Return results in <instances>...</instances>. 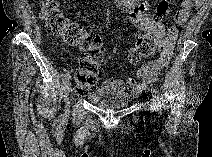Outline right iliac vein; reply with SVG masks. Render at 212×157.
I'll return each instance as SVG.
<instances>
[{"label":"right iliac vein","instance_id":"obj_1","mask_svg":"<svg viewBox=\"0 0 212 157\" xmlns=\"http://www.w3.org/2000/svg\"><path fill=\"white\" fill-rule=\"evenodd\" d=\"M70 90H71V84L69 81L65 82L64 84V91H65V101L67 103V105H69V94H70Z\"/></svg>","mask_w":212,"mask_h":157}]
</instances>
